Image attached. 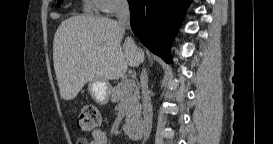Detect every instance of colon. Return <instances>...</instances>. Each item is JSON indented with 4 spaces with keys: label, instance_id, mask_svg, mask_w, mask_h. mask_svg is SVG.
Returning <instances> with one entry per match:
<instances>
[{
    "label": "colon",
    "instance_id": "1",
    "mask_svg": "<svg viewBox=\"0 0 273 144\" xmlns=\"http://www.w3.org/2000/svg\"><path fill=\"white\" fill-rule=\"evenodd\" d=\"M76 125L81 132L96 131L101 125V115L98 109L91 104L84 105L77 117Z\"/></svg>",
    "mask_w": 273,
    "mask_h": 144
}]
</instances>
